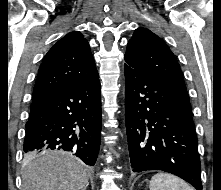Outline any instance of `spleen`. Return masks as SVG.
<instances>
[{"label":"spleen","mask_w":221,"mask_h":190,"mask_svg":"<svg viewBox=\"0 0 221 190\" xmlns=\"http://www.w3.org/2000/svg\"><path fill=\"white\" fill-rule=\"evenodd\" d=\"M149 187L150 190H194L182 179L167 173L155 174Z\"/></svg>","instance_id":"1"}]
</instances>
